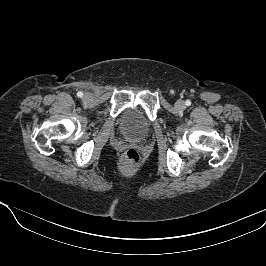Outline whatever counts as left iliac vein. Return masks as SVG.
<instances>
[{"label":"left iliac vein","instance_id":"1","mask_svg":"<svg viewBox=\"0 0 266 266\" xmlns=\"http://www.w3.org/2000/svg\"><path fill=\"white\" fill-rule=\"evenodd\" d=\"M175 108L179 111L184 110L185 109V103L182 100H178L175 103Z\"/></svg>","mask_w":266,"mask_h":266}]
</instances>
